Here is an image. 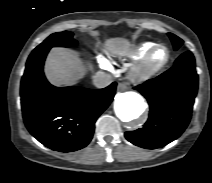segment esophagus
Returning a JSON list of instances; mask_svg holds the SVG:
<instances>
[{
  "label": "esophagus",
  "instance_id": "esophagus-1",
  "mask_svg": "<svg viewBox=\"0 0 212 183\" xmlns=\"http://www.w3.org/2000/svg\"><path fill=\"white\" fill-rule=\"evenodd\" d=\"M125 89H126L125 83L121 82V83L118 84V86H117L118 91H124Z\"/></svg>",
  "mask_w": 212,
  "mask_h": 183
}]
</instances>
